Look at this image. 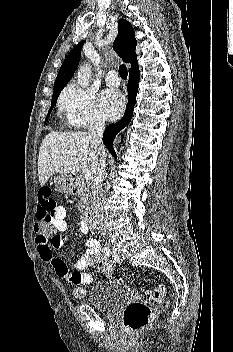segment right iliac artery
<instances>
[{"label":"right iliac artery","mask_w":233,"mask_h":352,"mask_svg":"<svg viewBox=\"0 0 233 352\" xmlns=\"http://www.w3.org/2000/svg\"><path fill=\"white\" fill-rule=\"evenodd\" d=\"M103 252H104V254H105L106 256H109V255L111 254V249H110V247H105V248L103 249Z\"/></svg>","instance_id":"right-iliac-artery-1"}]
</instances>
